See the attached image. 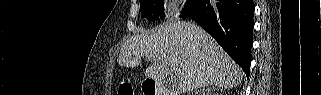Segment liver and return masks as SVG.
Wrapping results in <instances>:
<instances>
[{"mask_svg":"<svg viewBox=\"0 0 321 95\" xmlns=\"http://www.w3.org/2000/svg\"><path fill=\"white\" fill-rule=\"evenodd\" d=\"M151 61L147 78L161 82L170 69L176 74L178 93L215 85L233 88L243 79L242 69L202 28L190 22H166L151 34H137L122 46L120 66L136 67Z\"/></svg>","mask_w":321,"mask_h":95,"instance_id":"6515ba94","label":"liver"}]
</instances>
